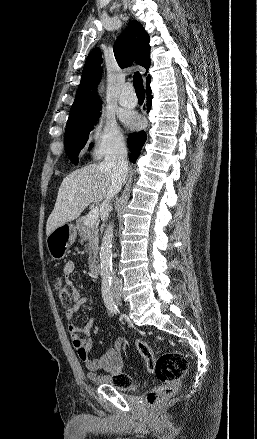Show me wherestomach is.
Instances as JSON below:
<instances>
[{"instance_id":"1","label":"stomach","mask_w":257,"mask_h":439,"mask_svg":"<svg viewBox=\"0 0 257 439\" xmlns=\"http://www.w3.org/2000/svg\"><path fill=\"white\" fill-rule=\"evenodd\" d=\"M76 235V227L71 223L62 224L53 230L46 239L47 250L51 258L53 260L64 258L67 250L75 242Z\"/></svg>"}]
</instances>
